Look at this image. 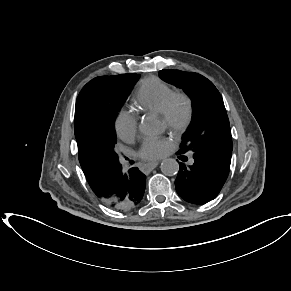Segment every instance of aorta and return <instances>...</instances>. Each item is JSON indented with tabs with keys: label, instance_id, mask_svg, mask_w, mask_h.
Listing matches in <instances>:
<instances>
[{
	"label": "aorta",
	"instance_id": "aorta-1",
	"mask_svg": "<svg viewBox=\"0 0 291 291\" xmlns=\"http://www.w3.org/2000/svg\"><path fill=\"white\" fill-rule=\"evenodd\" d=\"M139 131L143 135L150 136L155 133V128L150 122L143 121L139 125ZM160 168L162 173H164L165 175L173 176L178 173L179 164L175 159L168 158L162 161Z\"/></svg>",
	"mask_w": 291,
	"mask_h": 291
}]
</instances>
